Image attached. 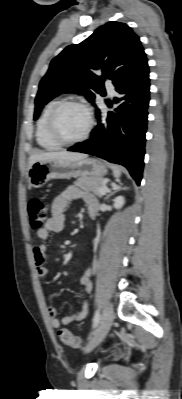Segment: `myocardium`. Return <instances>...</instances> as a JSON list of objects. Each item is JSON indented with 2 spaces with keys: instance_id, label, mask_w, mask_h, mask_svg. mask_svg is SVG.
<instances>
[{
  "instance_id": "f54148a6",
  "label": "myocardium",
  "mask_w": 182,
  "mask_h": 399,
  "mask_svg": "<svg viewBox=\"0 0 182 399\" xmlns=\"http://www.w3.org/2000/svg\"><path fill=\"white\" fill-rule=\"evenodd\" d=\"M78 106L80 108H82L86 115H87V119H88V125L86 130L84 131V133L75 138V139H65L63 138L60 133L57 130V126H56V117L57 114L59 113V111L65 107V106ZM94 117H93V113L92 110L90 109V107L83 101L81 100H77V99H66V100H62L59 101L51 110L49 117H48V132L50 134V136L56 141L58 142L60 145H73V144H77L80 142H83L84 140H86L89 135L91 134L93 128H94Z\"/></svg>"
}]
</instances>
